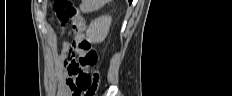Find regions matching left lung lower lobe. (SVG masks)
<instances>
[{"label": "left lung lower lobe", "mask_w": 232, "mask_h": 96, "mask_svg": "<svg viewBox=\"0 0 232 96\" xmlns=\"http://www.w3.org/2000/svg\"><path fill=\"white\" fill-rule=\"evenodd\" d=\"M132 2V0H129V3H131Z\"/></svg>", "instance_id": "obj_1"}]
</instances>
